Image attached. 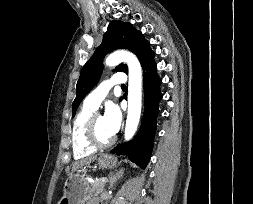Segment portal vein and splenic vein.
<instances>
[{"label": "portal vein and splenic vein", "mask_w": 253, "mask_h": 204, "mask_svg": "<svg viewBox=\"0 0 253 204\" xmlns=\"http://www.w3.org/2000/svg\"><path fill=\"white\" fill-rule=\"evenodd\" d=\"M99 181L102 182V183H105L106 179L105 178H100Z\"/></svg>", "instance_id": "1"}]
</instances>
